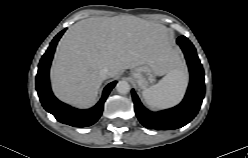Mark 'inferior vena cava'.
<instances>
[{
    "label": "inferior vena cava",
    "mask_w": 248,
    "mask_h": 158,
    "mask_svg": "<svg viewBox=\"0 0 248 158\" xmlns=\"http://www.w3.org/2000/svg\"><path fill=\"white\" fill-rule=\"evenodd\" d=\"M100 77L105 80L110 76V70L107 67H104L100 70Z\"/></svg>",
    "instance_id": "inferior-vena-cava-1"
}]
</instances>
